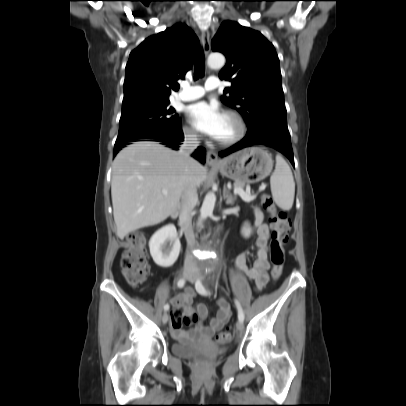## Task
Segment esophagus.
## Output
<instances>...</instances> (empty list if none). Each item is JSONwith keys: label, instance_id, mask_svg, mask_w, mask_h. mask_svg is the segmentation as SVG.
<instances>
[{"label": "esophagus", "instance_id": "esophagus-1", "mask_svg": "<svg viewBox=\"0 0 406 406\" xmlns=\"http://www.w3.org/2000/svg\"><path fill=\"white\" fill-rule=\"evenodd\" d=\"M210 34L208 29H203L201 33V40L204 53L207 55L210 51V42H209ZM206 161L209 165H216L218 164V155L213 150L207 151Z\"/></svg>", "mask_w": 406, "mask_h": 406}]
</instances>
